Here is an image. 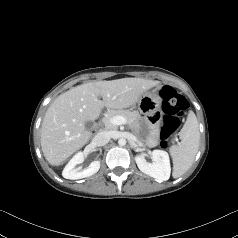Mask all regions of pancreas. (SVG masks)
<instances>
[{"mask_svg": "<svg viewBox=\"0 0 238 238\" xmlns=\"http://www.w3.org/2000/svg\"><path fill=\"white\" fill-rule=\"evenodd\" d=\"M114 116H123L124 118H126L129 124H134L138 117V113L135 111L131 112L129 110H111L103 118V123L106 129H116V126L110 123V119Z\"/></svg>", "mask_w": 238, "mask_h": 238, "instance_id": "obj_1", "label": "pancreas"}]
</instances>
